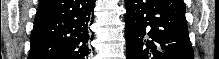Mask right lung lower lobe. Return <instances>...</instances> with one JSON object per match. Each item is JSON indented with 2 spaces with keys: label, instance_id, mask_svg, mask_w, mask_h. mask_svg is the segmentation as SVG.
Wrapping results in <instances>:
<instances>
[{
  "label": "right lung lower lobe",
  "instance_id": "98d812e1",
  "mask_svg": "<svg viewBox=\"0 0 219 59\" xmlns=\"http://www.w3.org/2000/svg\"><path fill=\"white\" fill-rule=\"evenodd\" d=\"M95 0H41L28 59H85Z\"/></svg>",
  "mask_w": 219,
  "mask_h": 59
}]
</instances>
